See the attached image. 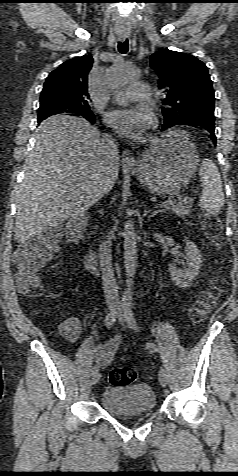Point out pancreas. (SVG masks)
Instances as JSON below:
<instances>
[{"label": "pancreas", "instance_id": "obj_1", "mask_svg": "<svg viewBox=\"0 0 238 476\" xmlns=\"http://www.w3.org/2000/svg\"><path fill=\"white\" fill-rule=\"evenodd\" d=\"M193 203V199L190 197L178 198L177 201H173L172 204L165 206L169 211H172L177 216H188Z\"/></svg>", "mask_w": 238, "mask_h": 476}]
</instances>
